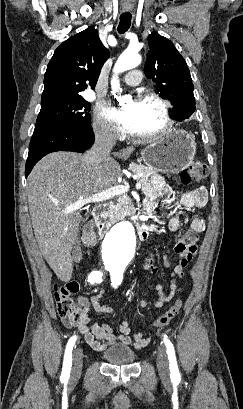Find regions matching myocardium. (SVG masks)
I'll return each instance as SVG.
<instances>
[{
	"label": "myocardium",
	"instance_id": "f54148a6",
	"mask_svg": "<svg viewBox=\"0 0 243 409\" xmlns=\"http://www.w3.org/2000/svg\"><path fill=\"white\" fill-rule=\"evenodd\" d=\"M151 100L156 102L162 110L163 126L157 131L146 134H131V137L136 141H151L161 137L171 130L173 127V118L171 114V104L160 94L153 90H144L138 93L136 101Z\"/></svg>",
	"mask_w": 243,
	"mask_h": 409
}]
</instances>
